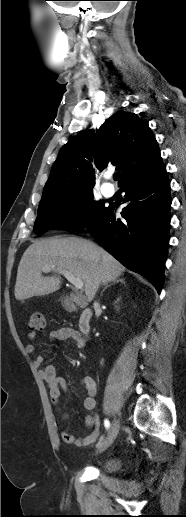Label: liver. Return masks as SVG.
<instances>
[{
    "mask_svg": "<svg viewBox=\"0 0 186 517\" xmlns=\"http://www.w3.org/2000/svg\"><path fill=\"white\" fill-rule=\"evenodd\" d=\"M45 266L66 270L80 278L89 302L101 283L113 281L125 271L117 259L89 240L76 237L38 240L27 248L20 260L14 291L17 300L47 295L60 288L59 277L42 276Z\"/></svg>",
    "mask_w": 186,
    "mask_h": 517,
    "instance_id": "obj_1",
    "label": "liver"
}]
</instances>
